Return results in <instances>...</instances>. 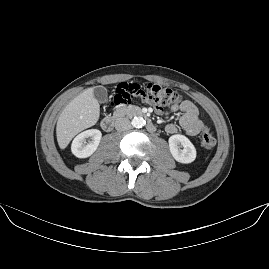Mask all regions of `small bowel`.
I'll list each match as a JSON object with an SVG mask.
<instances>
[{
	"label": "small bowel",
	"mask_w": 269,
	"mask_h": 269,
	"mask_svg": "<svg viewBox=\"0 0 269 269\" xmlns=\"http://www.w3.org/2000/svg\"><path fill=\"white\" fill-rule=\"evenodd\" d=\"M170 113L181 114L179 125L188 136H196L204 128V124L199 118L197 107L193 102L189 100H185L180 104L172 107ZM166 131L169 134H174L177 132V126L173 123H170L166 126Z\"/></svg>",
	"instance_id": "c3829d8e"
}]
</instances>
